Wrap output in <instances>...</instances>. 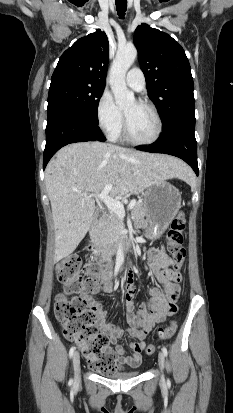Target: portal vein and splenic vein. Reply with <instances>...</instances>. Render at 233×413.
Masks as SVG:
<instances>
[{"label": "portal vein and splenic vein", "instance_id": "portal-vein-and-splenic-vein-1", "mask_svg": "<svg viewBox=\"0 0 233 413\" xmlns=\"http://www.w3.org/2000/svg\"><path fill=\"white\" fill-rule=\"evenodd\" d=\"M112 187H113L112 184H108L101 191V193L93 194L89 197L101 200L109 208V210L116 213L120 218H123L125 216V210H124L123 204L120 201L109 196V192L112 189ZM135 204H136V200H132L130 204L128 205V209L129 210L133 209Z\"/></svg>", "mask_w": 233, "mask_h": 413}]
</instances>
